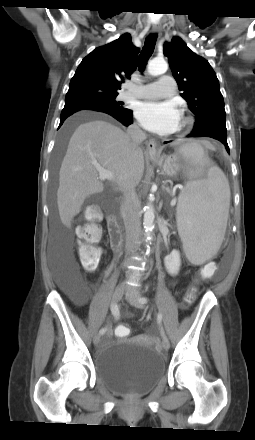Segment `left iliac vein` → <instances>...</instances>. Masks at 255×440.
Instances as JSON below:
<instances>
[{"label":"left iliac vein","instance_id":"obj_1","mask_svg":"<svg viewBox=\"0 0 255 440\" xmlns=\"http://www.w3.org/2000/svg\"><path fill=\"white\" fill-rule=\"evenodd\" d=\"M128 302L138 308H143L144 304L140 302L141 296L138 293H128L126 296ZM162 347L164 350H168L170 347L169 340L163 336Z\"/></svg>","mask_w":255,"mask_h":440}]
</instances>
